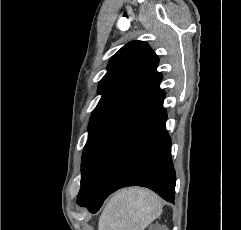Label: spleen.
I'll list each match as a JSON object with an SVG mask.
<instances>
[{
    "label": "spleen",
    "instance_id": "spleen-1",
    "mask_svg": "<svg viewBox=\"0 0 241 230\" xmlns=\"http://www.w3.org/2000/svg\"><path fill=\"white\" fill-rule=\"evenodd\" d=\"M158 195L143 188H127L115 193L99 219L98 230H144L162 211Z\"/></svg>",
    "mask_w": 241,
    "mask_h": 230
}]
</instances>
